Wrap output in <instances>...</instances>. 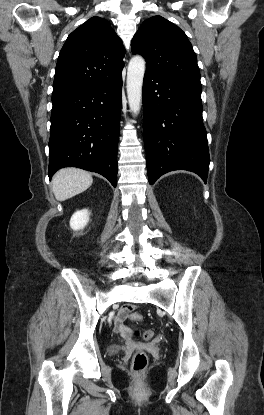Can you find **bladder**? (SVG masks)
I'll return each mask as SVG.
<instances>
[{
  "label": "bladder",
  "mask_w": 264,
  "mask_h": 415,
  "mask_svg": "<svg viewBox=\"0 0 264 415\" xmlns=\"http://www.w3.org/2000/svg\"><path fill=\"white\" fill-rule=\"evenodd\" d=\"M122 349L123 348L120 345H110V346L107 347V354L109 356H114V355L118 354Z\"/></svg>",
  "instance_id": "1"
}]
</instances>
